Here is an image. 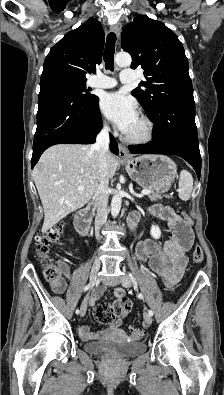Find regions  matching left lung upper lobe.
<instances>
[{
  "mask_svg": "<svg viewBox=\"0 0 224 395\" xmlns=\"http://www.w3.org/2000/svg\"><path fill=\"white\" fill-rule=\"evenodd\" d=\"M121 46L132 56L131 68L144 69L146 81H142L132 95L148 116L168 102L194 100L182 43L162 22L138 15L123 28Z\"/></svg>",
  "mask_w": 224,
  "mask_h": 395,
  "instance_id": "5c2ea615",
  "label": "left lung upper lobe"
}]
</instances>
